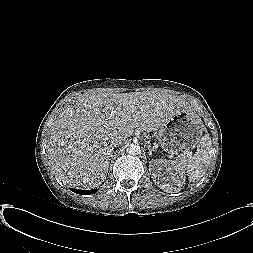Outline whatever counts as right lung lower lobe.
Instances as JSON below:
<instances>
[{
	"instance_id": "98d812e1",
	"label": "right lung lower lobe",
	"mask_w": 253,
	"mask_h": 253,
	"mask_svg": "<svg viewBox=\"0 0 253 253\" xmlns=\"http://www.w3.org/2000/svg\"><path fill=\"white\" fill-rule=\"evenodd\" d=\"M73 192L77 193V194H93L97 191V189H92V190H79V189H71Z\"/></svg>"
}]
</instances>
